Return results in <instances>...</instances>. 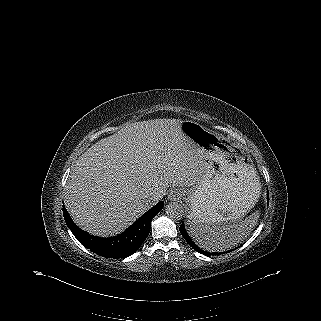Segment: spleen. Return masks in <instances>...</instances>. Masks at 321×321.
Returning a JSON list of instances; mask_svg holds the SVG:
<instances>
[{
	"label": "spleen",
	"instance_id": "obj_1",
	"mask_svg": "<svg viewBox=\"0 0 321 321\" xmlns=\"http://www.w3.org/2000/svg\"><path fill=\"white\" fill-rule=\"evenodd\" d=\"M259 213L254 212L245 220L233 224L194 222L188 232L192 239L207 251H225L237 246L246 239L256 226Z\"/></svg>",
	"mask_w": 321,
	"mask_h": 321
}]
</instances>
